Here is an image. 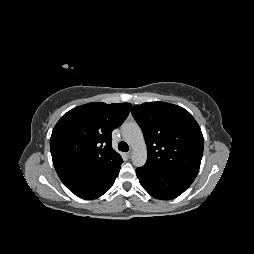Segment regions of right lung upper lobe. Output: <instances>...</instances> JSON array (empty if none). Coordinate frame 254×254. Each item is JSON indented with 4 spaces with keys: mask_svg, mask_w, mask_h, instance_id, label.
<instances>
[{
    "mask_svg": "<svg viewBox=\"0 0 254 254\" xmlns=\"http://www.w3.org/2000/svg\"><path fill=\"white\" fill-rule=\"evenodd\" d=\"M130 103H88L65 113L50 138L58 176L76 170L98 169L122 160L112 148L111 133L130 112Z\"/></svg>",
    "mask_w": 254,
    "mask_h": 254,
    "instance_id": "cb5924a9",
    "label": "right lung upper lobe"
}]
</instances>
